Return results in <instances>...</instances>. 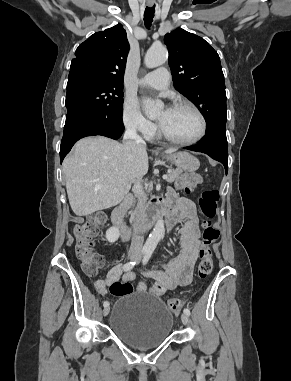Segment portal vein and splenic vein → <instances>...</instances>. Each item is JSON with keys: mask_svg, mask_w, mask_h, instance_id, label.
Listing matches in <instances>:
<instances>
[{"mask_svg": "<svg viewBox=\"0 0 291 381\" xmlns=\"http://www.w3.org/2000/svg\"><path fill=\"white\" fill-rule=\"evenodd\" d=\"M162 178L166 180L167 179V175H163Z\"/></svg>", "mask_w": 291, "mask_h": 381, "instance_id": "portal-vein-and-splenic-vein-1", "label": "portal vein and splenic vein"}]
</instances>
